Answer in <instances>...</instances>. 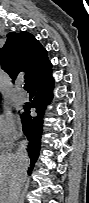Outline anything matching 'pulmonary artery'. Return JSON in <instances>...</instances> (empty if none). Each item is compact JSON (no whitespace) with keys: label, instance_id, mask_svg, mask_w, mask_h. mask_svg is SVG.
Segmentation results:
<instances>
[{"label":"pulmonary artery","instance_id":"1","mask_svg":"<svg viewBox=\"0 0 89 203\" xmlns=\"http://www.w3.org/2000/svg\"><path fill=\"white\" fill-rule=\"evenodd\" d=\"M18 99L21 101V102H25L28 100V95L25 93V92H19L18 93Z\"/></svg>","mask_w":89,"mask_h":203}]
</instances>
